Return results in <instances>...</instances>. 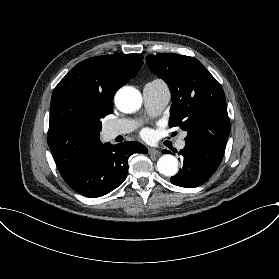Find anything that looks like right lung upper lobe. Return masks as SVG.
<instances>
[{
  "label": "right lung upper lobe",
  "instance_id": "cb5924a9",
  "mask_svg": "<svg viewBox=\"0 0 279 279\" xmlns=\"http://www.w3.org/2000/svg\"><path fill=\"white\" fill-rule=\"evenodd\" d=\"M142 64L141 54L91 57L55 87L48 145L61 175L71 173L103 145L100 119L113 108L116 91L137 75Z\"/></svg>",
  "mask_w": 279,
  "mask_h": 279
}]
</instances>
